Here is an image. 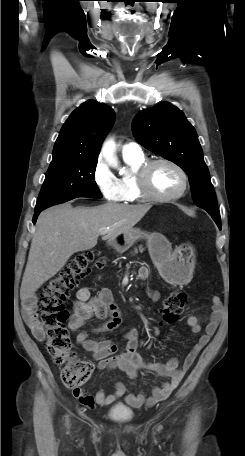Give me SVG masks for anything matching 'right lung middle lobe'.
<instances>
[{
	"instance_id": "1",
	"label": "right lung middle lobe",
	"mask_w": 245,
	"mask_h": 456,
	"mask_svg": "<svg viewBox=\"0 0 245 456\" xmlns=\"http://www.w3.org/2000/svg\"><path fill=\"white\" fill-rule=\"evenodd\" d=\"M97 160V157H79L51 163L35 211L76 197L102 198L94 180Z\"/></svg>"
}]
</instances>
